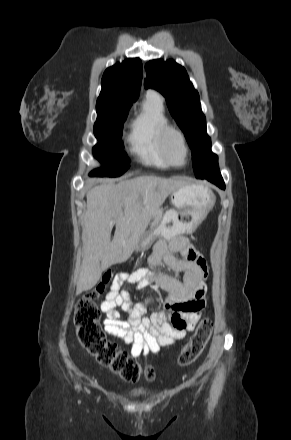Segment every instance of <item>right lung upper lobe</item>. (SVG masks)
Listing matches in <instances>:
<instances>
[{"label":"right lung upper lobe","instance_id":"1","mask_svg":"<svg viewBox=\"0 0 291 440\" xmlns=\"http://www.w3.org/2000/svg\"><path fill=\"white\" fill-rule=\"evenodd\" d=\"M142 73V62L139 58L127 59L107 68L102 77V90L96 108L131 107L139 95Z\"/></svg>","mask_w":291,"mask_h":440}]
</instances>
